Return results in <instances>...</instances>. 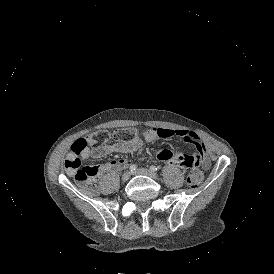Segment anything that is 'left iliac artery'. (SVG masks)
Returning <instances> with one entry per match:
<instances>
[{
  "label": "left iliac artery",
  "mask_w": 274,
  "mask_h": 274,
  "mask_svg": "<svg viewBox=\"0 0 274 274\" xmlns=\"http://www.w3.org/2000/svg\"><path fill=\"white\" fill-rule=\"evenodd\" d=\"M150 170L153 171V172H155V171L158 170V168H157L156 166H153V165H152V166H150Z\"/></svg>",
  "instance_id": "1"
}]
</instances>
